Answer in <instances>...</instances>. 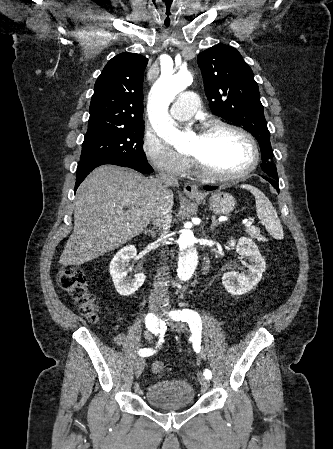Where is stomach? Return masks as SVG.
Segmentation results:
<instances>
[{
    "instance_id": "stomach-1",
    "label": "stomach",
    "mask_w": 333,
    "mask_h": 449,
    "mask_svg": "<svg viewBox=\"0 0 333 449\" xmlns=\"http://www.w3.org/2000/svg\"><path fill=\"white\" fill-rule=\"evenodd\" d=\"M235 199L226 192H215L209 198V208L215 214L227 215L235 208Z\"/></svg>"
}]
</instances>
